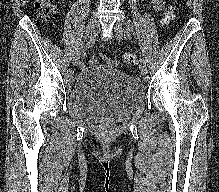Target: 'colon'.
I'll return each mask as SVG.
<instances>
[{
  "mask_svg": "<svg viewBox=\"0 0 219 192\" xmlns=\"http://www.w3.org/2000/svg\"><path fill=\"white\" fill-rule=\"evenodd\" d=\"M34 6L38 14L42 17H47L52 15L56 7L53 4V0H34ZM175 18V9L173 7L168 8L164 16V23L169 24ZM137 61L136 54L134 52H127L122 56V62L126 65L135 64ZM91 64H94V60H90Z\"/></svg>",
  "mask_w": 219,
  "mask_h": 192,
  "instance_id": "obj_1",
  "label": "colon"
}]
</instances>
